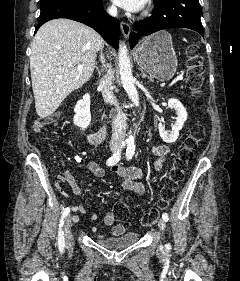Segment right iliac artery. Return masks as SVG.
Listing matches in <instances>:
<instances>
[{
    "instance_id": "right-iliac-artery-1",
    "label": "right iliac artery",
    "mask_w": 240,
    "mask_h": 281,
    "mask_svg": "<svg viewBox=\"0 0 240 281\" xmlns=\"http://www.w3.org/2000/svg\"><path fill=\"white\" fill-rule=\"evenodd\" d=\"M125 146L124 143H122L121 147L107 160L106 164L108 166L115 165L121 158V151L122 148ZM70 212V209L67 207L63 210L60 223H59V232H58V245L59 249L63 250L65 247V237H64V232L62 231V226L64 223V219L68 216Z\"/></svg>"
}]
</instances>
